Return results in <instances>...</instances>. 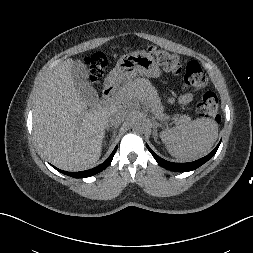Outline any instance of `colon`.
I'll use <instances>...</instances> for the list:
<instances>
[{
	"mask_svg": "<svg viewBox=\"0 0 253 253\" xmlns=\"http://www.w3.org/2000/svg\"><path fill=\"white\" fill-rule=\"evenodd\" d=\"M149 52L156 58V61L167 71L174 74L183 72V85L187 89H201L207 84V77L200 64L196 61L188 62L183 67L177 55L165 50L150 47ZM86 65L91 81H97L103 74L107 65V59L103 53H95L86 59ZM198 115L202 118L210 119L215 122L220 121L218 114V98L211 91H205L196 106Z\"/></svg>",
	"mask_w": 253,
	"mask_h": 253,
	"instance_id": "colon-1",
	"label": "colon"
}]
</instances>
